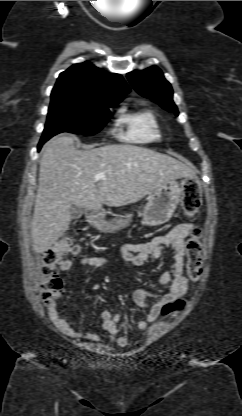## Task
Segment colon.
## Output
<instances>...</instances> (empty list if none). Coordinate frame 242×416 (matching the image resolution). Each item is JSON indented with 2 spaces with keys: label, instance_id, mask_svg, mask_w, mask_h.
Instances as JSON below:
<instances>
[{
  "label": "colon",
  "instance_id": "colon-1",
  "mask_svg": "<svg viewBox=\"0 0 242 416\" xmlns=\"http://www.w3.org/2000/svg\"><path fill=\"white\" fill-rule=\"evenodd\" d=\"M200 183L197 178L187 179L183 184L182 205L185 215L193 217L201 206ZM202 231L193 227L186 241L187 272L191 281L197 282L203 274L202 267ZM77 245H73L69 238H62L52 244L42 255L41 266L43 281L40 285V296L44 305L50 310H56L57 301L63 294V282L59 276L58 265L68 254H79ZM187 306L184 300H177L166 304L162 308V315L181 312Z\"/></svg>",
  "mask_w": 242,
  "mask_h": 416
}]
</instances>
